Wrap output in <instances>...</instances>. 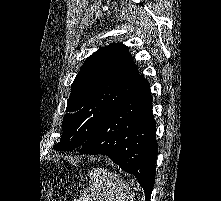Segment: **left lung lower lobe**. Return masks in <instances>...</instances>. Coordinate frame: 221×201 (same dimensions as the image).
<instances>
[{
    "instance_id": "obj_1",
    "label": "left lung lower lobe",
    "mask_w": 221,
    "mask_h": 201,
    "mask_svg": "<svg viewBox=\"0 0 221 201\" xmlns=\"http://www.w3.org/2000/svg\"><path fill=\"white\" fill-rule=\"evenodd\" d=\"M148 82L116 104L81 146L82 154L108 156L133 174L150 201L158 144Z\"/></svg>"
}]
</instances>
